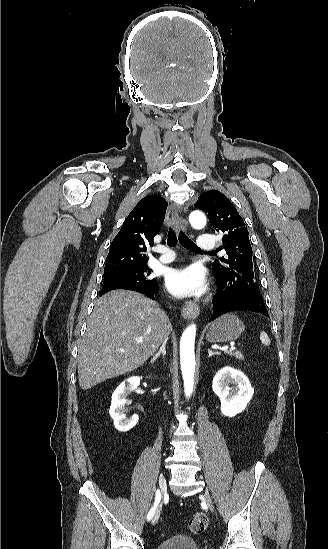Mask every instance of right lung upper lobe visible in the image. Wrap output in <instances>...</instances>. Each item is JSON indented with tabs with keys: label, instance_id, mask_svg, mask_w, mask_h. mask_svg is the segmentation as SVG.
I'll return each mask as SVG.
<instances>
[{
	"label": "right lung upper lobe",
	"instance_id": "1",
	"mask_svg": "<svg viewBox=\"0 0 328 549\" xmlns=\"http://www.w3.org/2000/svg\"><path fill=\"white\" fill-rule=\"evenodd\" d=\"M166 208L167 201L160 196H146L137 203L110 245L104 272L147 264V246H153Z\"/></svg>",
	"mask_w": 328,
	"mask_h": 549
}]
</instances>
